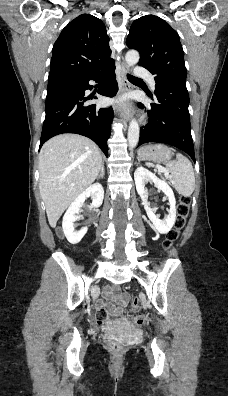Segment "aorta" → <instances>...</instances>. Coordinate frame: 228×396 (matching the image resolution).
<instances>
[{"instance_id":"aorta-1","label":"aorta","mask_w":228,"mask_h":396,"mask_svg":"<svg viewBox=\"0 0 228 396\" xmlns=\"http://www.w3.org/2000/svg\"><path fill=\"white\" fill-rule=\"evenodd\" d=\"M139 53L136 50H130L126 53L125 60L129 66H134L139 61ZM139 124L132 119L128 128V144L130 148L136 147L139 141Z\"/></svg>"}]
</instances>
